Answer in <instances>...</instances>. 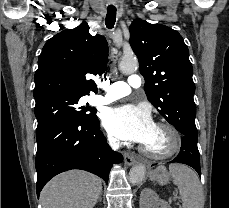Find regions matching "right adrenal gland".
<instances>
[{"label":"right adrenal gland","instance_id":"1","mask_svg":"<svg viewBox=\"0 0 229 208\" xmlns=\"http://www.w3.org/2000/svg\"><path fill=\"white\" fill-rule=\"evenodd\" d=\"M101 200H102V198H101V196H100V198H99V200H97V202H101ZM97 202H96V204H97Z\"/></svg>","mask_w":229,"mask_h":208}]
</instances>
